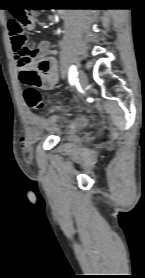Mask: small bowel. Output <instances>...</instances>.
<instances>
[{
  "label": "small bowel",
  "mask_w": 145,
  "mask_h": 278,
  "mask_svg": "<svg viewBox=\"0 0 145 278\" xmlns=\"http://www.w3.org/2000/svg\"><path fill=\"white\" fill-rule=\"evenodd\" d=\"M35 27L34 19H31V23L28 26L29 30H33ZM12 43V50L14 54L16 68L19 72L20 78L22 80V76L28 72L32 68H38V70L42 73V83L41 87L44 90H52L58 83L59 80V72H58V64L55 58H47L43 60V56L46 52L50 50L51 44L48 41L41 42L34 49L31 48L32 52L39 59L36 60L32 55H28L26 53V48L17 47ZM23 81V80H22ZM28 120L31 124H37L39 119L32 113L28 114Z\"/></svg>",
  "instance_id": "small-bowel-1"
}]
</instances>
